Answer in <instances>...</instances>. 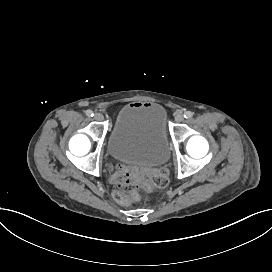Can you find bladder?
I'll list each match as a JSON object with an SVG mask.
<instances>
[{"instance_id": "31cf9c89", "label": "bladder", "mask_w": 272, "mask_h": 272, "mask_svg": "<svg viewBox=\"0 0 272 272\" xmlns=\"http://www.w3.org/2000/svg\"><path fill=\"white\" fill-rule=\"evenodd\" d=\"M165 127L166 113L160 104L126 105L107 137L108 153L119 162L160 167L169 157Z\"/></svg>"}]
</instances>
